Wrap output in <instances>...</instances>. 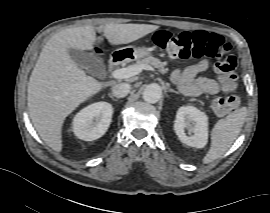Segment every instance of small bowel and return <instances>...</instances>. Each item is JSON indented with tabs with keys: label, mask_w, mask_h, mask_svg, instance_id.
<instances>
[{
	"label": "small bowel",
	"mask_w": 270,
	"mask_h": 213,
	"mask_svg": "<svg viewBox=\"0 0 270 213\" xmlns=\"http://www.w3.org/2000/svg\"><path fill=\"white\" fill-rule=\"evenodd\" d=\"M208 68L209 61L203 59L184 69H175L172 72V79L186 96L197 97L204 94H216L219 90L216 80L208 77H197L200 72Z\"/></svg>",
	"instance_id": "1"
}]
</instances>
